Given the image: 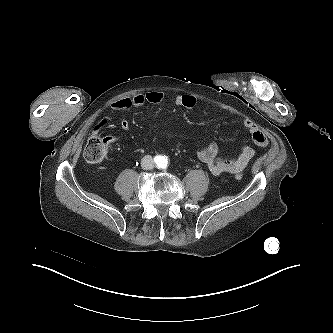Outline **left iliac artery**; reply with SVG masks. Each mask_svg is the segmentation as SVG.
<instances>
[{"label":"left iliac artery","mask_w":333,"mask_h":333,"mask_svg":"<svg viewBox=\"0 0 333 333\" xmlns=\"http://www.w3.org/2000/svg\"><path fill=\"white\" fill-rule=\"evenodd\" d=\"M166 166H167V163H166V161H164L162 164V168H166Z\"/></svg>","instance_id":"1"}]
</instances>
